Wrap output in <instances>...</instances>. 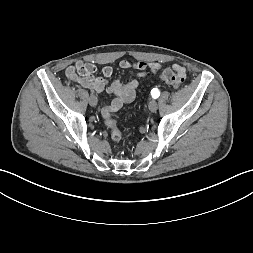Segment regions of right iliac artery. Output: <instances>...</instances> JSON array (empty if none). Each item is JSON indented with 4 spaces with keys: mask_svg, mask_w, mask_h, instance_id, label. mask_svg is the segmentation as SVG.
<instances>
[{
    "mask_svg": "<svg viewBox=\"0 0 253 253\" xmlns=\"http://www.w3.org/2000/svg\"><path fill=\"white\" fill-rule=\"evenodd\" d=\"M90 93H91V96H92L95 92L93 90H91Z\"/></svg>",
    "mask_w": 253,
    "mask_h": 253,
    "instance_id": "obj_1",
    "label": "right iliac artery"
}]
</instances>
